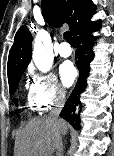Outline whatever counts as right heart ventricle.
Here are the masks:
<instances>
[{
	"label": "right heart ventricle",
	"mask_w": 114,
	"mask_h": 156,
	"mask_svg": "<svg viewBox=\"0 0 114 156\" xmlns=\"http://www.w3.org/2000/svg\"><path fill=\"white\" fill-rule=\"evenodd\" d=\"M27 107L30 111L35 112L39 111L40 109L34 104V102L31 100V98L28 96L27 100Z\"/></svg>",
	"instance_id": "e07e8e85"
}]
</instances>
